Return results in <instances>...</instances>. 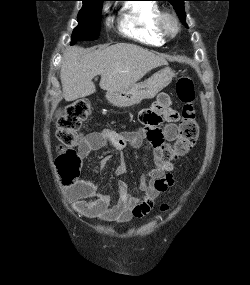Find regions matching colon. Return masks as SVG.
Masks as SVG:
<instances>
[{
    "mask_svg": "<svg viewBox=\"0 0 250 285\" xmlns=\"http://www.w3.org/2000/svg\"><path fill=\"white\" fill-rule=\"evenodd\" d=\"M176 94L183 103L179 136L172 146L163 144V147L154 148L155 156L165 161L177 159L187 153L195 145L199 135L194 108L195 88L189 76L183 75L178 79ZM90 114V103L81 99L68 106L65 114L58 120L56 135L61 146L55 164L64 184L70 185L78 180L82 159L74 148L81 142V126ZM160 209L166 212L169 206L162 204Z\"/></svg>",
    "mask_w": 250,
    "mask_h": 285,
    "instance_id": "colon-1",
    "label": "colon"
}]
</instances>
